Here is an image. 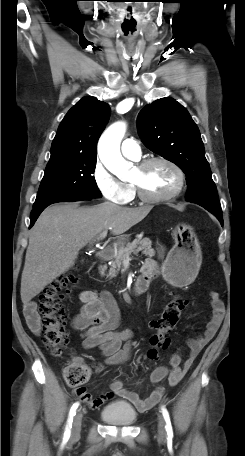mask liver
I'll use <instances>...</instances> for the list:
<instances>
[{
    "instance_id": "obj_1",
    "label": "liver",
    "mask_w": 245,
    "mask_h": 456,
    "mask_svg": "<svg viewBox=\"0 0 245 456\" xmlns=\"http://www.w3.org/2000/svg\"><path fill=\"white\" fill-rule=\"evenodd\" d=\"M152 206L128 208L111 202L92 207L54 204L31 230L21 277V300L27 304L48 284L69 270L79 250L103 230L121 235L142 221Z\"/></svg>"
}]
</instances>
